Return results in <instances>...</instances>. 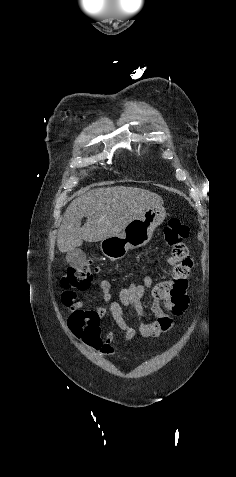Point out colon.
Segmentation results:
<instances>
[{
    "label": "colon",
    "instance_id": "colon-1",
    "mask_svg": "<svg viewBox=\"0 0 236 477\" xmlns=\"http://www.w3.org/2000/svg\"><path fill=\"white\" fill-rule=\"evenodd\" d=\"M189 231V227L177 218L170 219L164 227L165 243L172 248L171 261L179 263L189 256L188 248L183 243ZM94 273L95 271L90 268L70 267L61 280L62 287L68 291L86 290L94 281Z\"/></svg>",
    "mask_w": 236,
    "mask_h": 477
}]
</instances>
